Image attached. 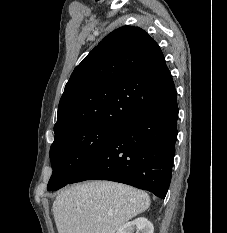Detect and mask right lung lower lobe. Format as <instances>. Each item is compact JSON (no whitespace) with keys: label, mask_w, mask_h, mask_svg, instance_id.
<instances>
[{"label":"right lung lower lobe","mask_w":227,"mask_h":233,"mask_svg":"<svg viewBox=\"0 0 227 233\" xmlns=\"http://www.w3.org/2000/svg\"><path fill=\"white\" fill-rule=\"evenodd\" d=\"M177 119L174 89L162 101L125 121L68 184L110 180L164 199L171 181Z\"/></svg>","instance_id":"right-lung-lower-lobe-1"}]
</instances>
